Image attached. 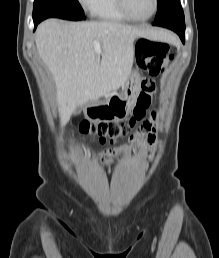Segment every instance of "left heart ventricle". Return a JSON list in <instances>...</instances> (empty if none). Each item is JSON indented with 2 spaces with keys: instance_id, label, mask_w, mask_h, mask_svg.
I'll return each instance as SVG.
<instances>
[{
  "instance_id": "b2bd125f",
  "label": "left heart ventricle",
  "mask_w": 219,
  "mask_h": 258,
  "mask_svg": "<svg viewBox=\"0 0 219 258\" xmlns=\"http://www.w3.org/2000/svg\"><path fill=\"white\" fill-rule=\"evenodd\" d=\"M131 15L142 18L148 16L154 8V0H126Z\"/></svg>"
}]
</instances>
